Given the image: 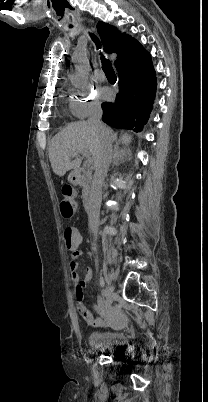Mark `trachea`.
I'll return each instance as SVG.
<instances>
[{
  "mask_svg": "<svg viewBox=\"0 0 208 402\" xmlns=\"http://www.w3.org/2000/svg\"><path fill=\"white\" fill-rule=\"evenodd\" d=\"M91 38H92L93 42L95 43L97 49L101 48L100 40L92 33H91ZM101 61H102V69H103L105 75L107 77L117 78L111 62L109 60H106V58L103 55L101 56Z\"/></svg>",
  "mask_w": 208,
  "mask_h": 402,
  "instance_id": "1",
  "label": "trachea"
}]
</instances>
